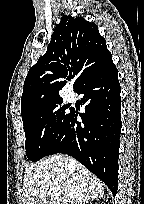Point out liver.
<instances>
[{"mask_svg":"<svg viewBox=\"0 0 144 204\" xmlns=\"http://www.w3.org/2000/svg\"><path fill=\"white\" fill-rule=\"evenodd\" d=\"M51 187L61 191L59 204H81L104 196L103 184L81 163L53 155L25 169L23 204H42Z\"/></svg>","mask_w":144,"mask_h":204,"instance_id":"1","label":"liver"}]
</instances>
